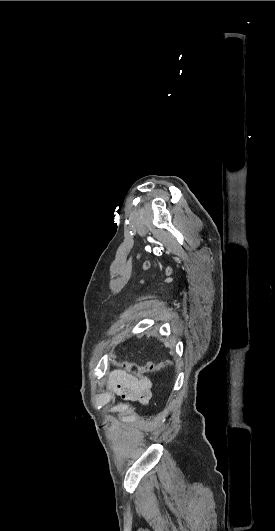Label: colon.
<instances>
[{
    "label": "colon",
    "instance_id": "obj_1",
    "mask_svg": "<svg viewBox=\"0 0 275 531\" xmlns=\"http://www.w3.org/2000/svg\"><path fill=\"white\" fill-rule=\"evenodd\" d=\"M110 356H113V353H110ZM111 362L116 366L121 367L127 370L128 372L134 374L157 372L171 366V364L165 360L151 361L147 362L145 365H140L135 362L123 361L119 358H111Z\"/></svg>",
    "mask_w": 275,
    "mask_h": 531
}]
</instances>
